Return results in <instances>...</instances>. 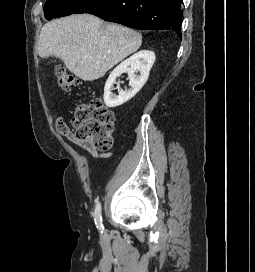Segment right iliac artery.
Here are the masks:
<instances>
[{"label":"right iliac artery","instance_id":"1","mask_svg":"<svg viewBox=\"0 0 255 272\" xmlns=\"http://www.w3.org/2000/svg\"><path fill=\"white\" fill-rule=\"evenodd\" d=\"M94 220H95V224L97 226V228L99 230L104 229L103 227V223H102V215H101V204L98 202L95 208V212H94Z\"/></svg>","mask_w":255,"mask_h":272}]
</instances>
